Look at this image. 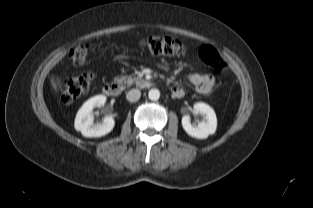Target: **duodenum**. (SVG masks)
Wrapping results in <instances>:
<instances>
[{"instance_id":"1","label":"duodenum","mask_w":313,"mask_h":208,"mask_svg":"<svg viewBox=\"0 0 313 208\" xmlns=\"http://www.w3.org/2000/svg\"><path fill=\"white\" fill-rule=\"evenodd\" d=\"M151 86V82L141 79L136 82V87L139 89H147ZM123 86L119 82H109L103 87V92L107 96L117 97L122 93Z\"/></svg>"}]
</instances>
